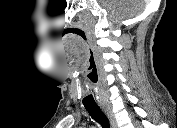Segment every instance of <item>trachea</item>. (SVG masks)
I'll return each mask as SVG.
<instances>
[{
	"label": "trachea",
	"mask_w": 177,
	"mask_h": 128,
	"mask_svg": "<svg viewBox=\"0 0 177 128\" xmlns=\"http://www.w3.org/2000/svg\"><path fill=\"white\" fill-rule=\"evenodd\" d=\"M85 108L92 119L98 122L102 126V128H110L108 118L98 106H85Z\"/></svg>",
	"instance_id": "1"
}]
</instances>
